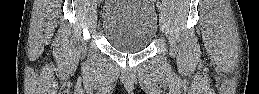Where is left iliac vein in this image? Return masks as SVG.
Here are the masks:
<instances>
[{
  "label": "left iliac vein",
  "mask_w": 259,
  "mask_h": 94,
  "mask_svg": "<svg viewBox=\"0 0 259 94\" xmlns=\"http://www.w3.org/2000/svg\"><path fill=\"white\" fill-rule=\"evenodd\" d=\"M159 23H160L162 32H165L166 26H167V17H166V13L164 11H160V13H159Z\"/></svg>",
  "instance_id": "obj_1"
}]
</instances>
